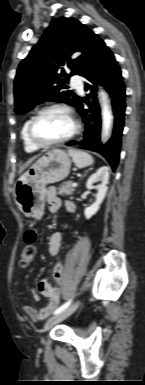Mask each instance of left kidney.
Instances as JSON below:
<instances>
[{"label": "left kidney", "mask_w": 145, "mask_h": 385, "mask_svg": "<svg viewBox=\"0 0 145 385\" xmlns=\"http://www.w3.org/2000/svg\"><path fill=\"white\" fill-rule=\"evenodd\" d=\"M108 180H109V168L107 166L100 167L88 179L86 187L88 189L96 188L97 189V195H96L95 202L90 207H87L84 210V215H85L86 219H90L99 210L100 205L103 202V200L106 196V192L108 190V188H107ZM97 181H101V184L94 187L93 184Z\"/></svg>", "instance_id": "obj_1"}]
</instances>
